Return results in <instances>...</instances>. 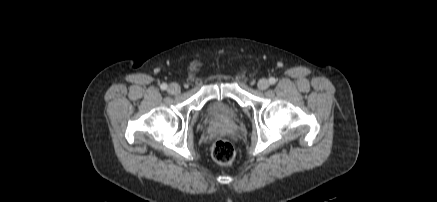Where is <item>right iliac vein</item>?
<instances>
[{"label":"right iliac vein","mask_w":437,"mask_h":202,"mask_svg":"<svg viewBox=\"0 0 437 202\" xmlns=\"http://www.w3.org/2000/svg\"><path fill=\"white\" fill-rule=\"evenodd\" d=\"M169 94L175 95L180 92V86L177 83H172L167 89Z\"/></svg>","instance_id":"obj_1"}]
</instances>
